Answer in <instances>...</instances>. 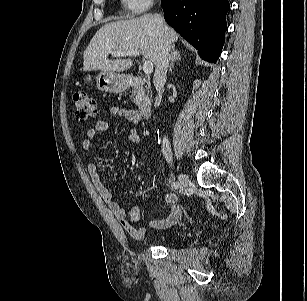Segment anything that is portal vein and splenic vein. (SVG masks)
Segmentation results:
<instances>
[{
    "instance_id": "obj_1",
    "label": "portal vein and splenic vein",
    "mask_w": 307,
    "mask_h": 301,
    "mask_svg": "<svg viewBox=\"0 0 307 301\" xmlns=\"http://www.w3.org/2000/svg\"><path fill=\"white\" fill-rule=\"evenodd\" d=\"M140 54H141L140 50L112 52V55L115 56V57L128 56V55L129 56H138ZM143 71L146 74H151L153 72V63L149 60L144 61Z\"/></svg>"
}]
</instances>
